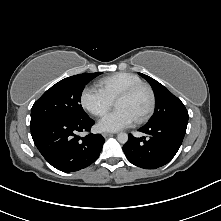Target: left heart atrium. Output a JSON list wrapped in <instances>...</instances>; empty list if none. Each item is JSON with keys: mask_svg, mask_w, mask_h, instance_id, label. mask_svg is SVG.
<instances>
[{"mask_svg": "<svg viewBox=\"0 0 221 221\" xmlns=\"http://www.w3.org/2000/svg\"><path fill=\"white\" fill-rule=\"evenodd\" d=\"M134 121V117L128 111L125 109H116L102 117L97 127L101 131L115 132L132 125Z\"/></svg>", "mask_w": 221, "mask_h": 221, "instance_id": "obj_1", "label": "left heart atrium"}]
</instances>
